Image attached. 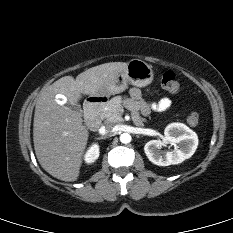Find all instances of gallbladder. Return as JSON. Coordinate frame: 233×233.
Listing matches in <instances>:
<instances>
[{"label": "gallbladder", "instance_id": "gallbladder-1", "mask_svg": "<svg viewBox=\"0 0 233 233\" xmlns=\"http://www.w3.org/2000/svg\"><path fill=\"white\" fill-rule=\"evenodd\" d=\"M71 108L73 110H75L76 112H78L80 115H82V110H81V107L79 105L71 106Z\"/></svg>", "mask_w": 233, "mask_h": 233}]
</instances>
